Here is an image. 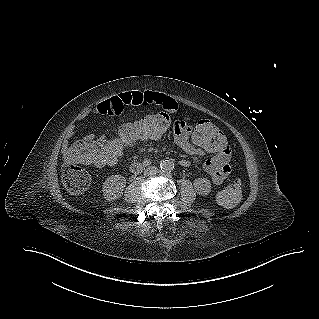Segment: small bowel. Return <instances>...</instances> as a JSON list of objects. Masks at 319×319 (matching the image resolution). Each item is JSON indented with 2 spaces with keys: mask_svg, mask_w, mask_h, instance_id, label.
Here are the masks:
<instances>
[{
  "mask_svg": "<svg viewBox=\"0 0 319 319\" xmlns=\"http://www.w3.org/2000/svg\"><path fill=\"white\" fill-rule=\"evenodd\" d=\"M131 105L156 106L166 111L174 112L177 110L179 102L177 99H172L162 93L155 91L125 92L118 94L117 96H114L112 98L104 99L91 111V114L100 115L111 120H119L125 115L126 107ZM162 117L165 119L167 124V118L164 116ZM123 126H121V128ZM170 129L173 130V139L175 144L178 145L187 154L192 156H203L205 153H210L200 149L196 144L189 140L188 135L190 134L192 129L191 121H171ZM74 132L75 131L73 129L68 132L67 137L63 143V148L65 150L72 147L69 145V138L74 134ZM231 152L232 147L230 145H225L223 149L215 152L211 158L207 159L204 162L203 169L210 176L211 181L214 185L222 184L230 174L231 166L229 158ZM147 163V161L144 162V164ZM180 163L182 166H189L190 164V162L186 159L181 160Z\"/></svg>",
  "mask_w": 319,
  "mask_h": 319,
  "instance_id": "1",
  "label": "small bowel"
}]
</instances>
